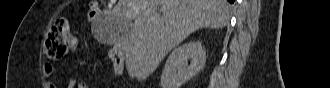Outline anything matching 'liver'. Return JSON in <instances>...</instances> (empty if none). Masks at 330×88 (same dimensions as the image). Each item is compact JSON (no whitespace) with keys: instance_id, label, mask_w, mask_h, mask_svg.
Returning <instances> with one entry per match:
<instances>
[{"instance_id":"1","label":"liver","mask_w":330,"mask_h":88,"mask_svg":"<svg viewBox=\"0 0 330 88\" xmlns=\"http://www.w3.org/2000/svg\"><path fill=\"white\" fill-rule=\"evenodd\" d=\"M159 5L162 15L157 12ZM108 17L117 23L134 20L118 43L130 77L141 81L192 32L225 27L229 6L226 0H119Z\"/></svg>"}]
</instances>
